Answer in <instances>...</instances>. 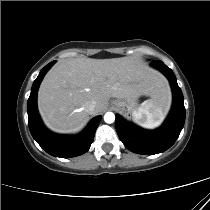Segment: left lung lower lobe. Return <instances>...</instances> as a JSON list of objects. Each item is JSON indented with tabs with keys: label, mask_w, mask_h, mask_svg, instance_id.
<instances>
[{
	"label": "left lung lower lobe",
	"mask_w": 210,
	"mask_h": 210,
	"mask_svg": "<svg viewBox=\"0 0 210 210\" xmlns=\"http://www.w3.org/2000/svg\"><path fill=\"white\" fill-rule=\"evenodd\" d=\"M151 65L159 69L169 80L173 92V105L164 124L153 131L131 125L116 115L115 127L120 140L130 151L152 155L164 152L177 140L185 122L184 98L173 71L162 61H153Z\"/></svg>",
	"instance_id": "0a47b994"
}]
</instances>
